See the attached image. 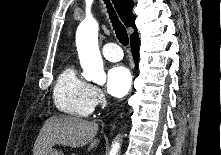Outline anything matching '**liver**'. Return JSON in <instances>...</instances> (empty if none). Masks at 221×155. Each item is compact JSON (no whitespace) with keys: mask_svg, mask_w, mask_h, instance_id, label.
<instances>
[{"mask_svg":"<svg viewBox=\"0 0 221 155\" xmlns=\"http://www.w3.org/2000/svg\"><path fill=\"white\" fill-rule=\"evenodd\" d=\"M98 124L78 117L57 115L46 120L35 141L33 155H46L55 145L78 148L90 143L88 150L99 144L95 139Z\"/></svg>","mask_w":221,"mask_h":155,"instance_id":"liver-1","label":"liver"}]
</instances>
